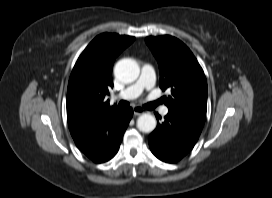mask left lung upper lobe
Returning a JSON list of instances; mask_svg holds the SVG:
<instances>
[{"label": "left lung upper lobe", "mask_w": 272, "mask_h": 198, "mask_svg": "<svg viewBox=\"0 0 272 198\" xmlns=\"http://www.w3.org/2000/svg\"><path fill=\"white\" fill-rule=\"evenodd\" d=\"M146 44L156 57L159 86L171 94L162 97L169 111L205 120L207 111V81L198 61L189 48L175 37H147Z\"/></svg>", "instance_id": "5c2ea615"}]
</instances>
